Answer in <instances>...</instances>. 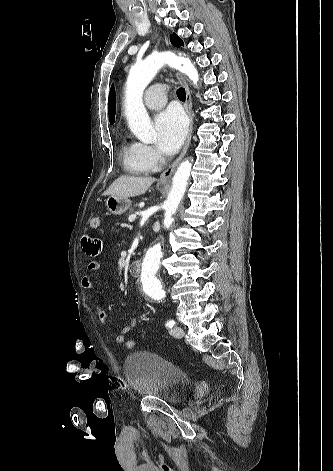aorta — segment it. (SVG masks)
Segmentation results:
<instances>
[{"label":"aorta","mask_w":333,"mask_h":471,"mask_svg":"<svg viewBox=\"0 0 333 471\" xmlns=\"http://www.w3.org/2000/svg\"><path fill=\"white\" fill-rule=\"evenodd\" d=\"M164 64L186 74L194 84H197L199 80L198 71L189 59L168 53L152 54L146 60L131 67L126 82L125 114L131 132L143 143H152L156 140L155 131L143 104V93ZM190 170L191 163L186 160L180 163L174 174L171 190L164 203L163 224L165 227L173 223L172 216L177 211L186 191ZM162 257V246L156 243L147 250L141 266L144 292L153 298H164L166 295L158 276Z\"/></svg>","instance_id":"aorta-1"}]
</instances>
